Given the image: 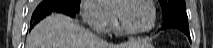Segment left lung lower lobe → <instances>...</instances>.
I'll list each match as a JSON object with an SVG mask.
<instances>
[{
	"mask_svg": "<svg viewBox=\"0 0 213 48\" xmlns=\"http://www.w3.org/2000/svg\"><path fill=\"white\" fill-rule=\"evenodd\" d=\"M166 28H175L181 30L183 33H185L188 38L190 39V33H189V27L188 22L179 21V20H172L168 19L164 21L162 29ZM191 40V39H190Z\"/></svg>",
	"mask_w": 213,
	"mask_h": 48,
	"instance_id": "1",
	"label": "left lung lower lobe"
}]
</instances>
